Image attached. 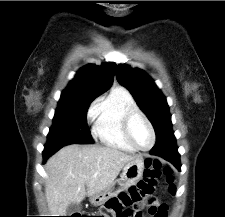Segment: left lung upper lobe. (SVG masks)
<instances>
[{"label":"left lung upper lobe","mask_w":225,"mask_h":217,"mask_svg":"<svg viewBox=\"0 0 225 217\" xmlns=\"http://www.w3.org/2000/svg\"><path fill=\"white\" fill-rule=\"evenodd\" d=\"M116 76L119 83L131 92L155 129L156 144L150 152L177 149L166 98L149 75L138 68L133 69L128 65L119 64Z\"/></svg>","instance_id":"obj_1"}]
</instances>
